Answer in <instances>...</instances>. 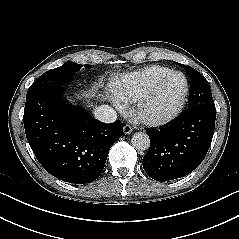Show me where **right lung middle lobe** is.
<instances>
[{
  "instance_id": "right-lung-middle-lobe-1",
  "label": "right lung middle lobe",
  "mask_w": 239,
  "mask_h": 239,
  "mask_svg": "<svg viewBox=\"0 0 239 239\" xmlns=\"http://www.w3.org/2000/svg\"><path fill=\"white\" fill-rule=\"evenodd\" d=\"M83 65L74 62H66L64 65L51 69L42 74L28 89L27 95L47 90L55 86H62L73 79V75L79 71ZM90 68V65H84Z\"/></svg>"
}]
</instances>
